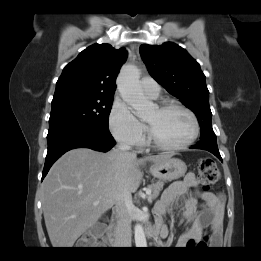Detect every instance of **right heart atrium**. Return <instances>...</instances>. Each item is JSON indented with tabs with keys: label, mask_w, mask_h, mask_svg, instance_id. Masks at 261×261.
<instances>
[{
	"label": "right heart atrium",
	"mask_w": 261,
	"mask_h": 261,
	"mask_svg": "<svg viewBox=\"0 0 261 261\" xmlns=\"http://www.w3.org/2000/svg\"><path fill=\"white\" fill-rule=\"evenodd\" d=\"M109 129L113 137L124 146L141 147L145 138V127L130 111L129 107L116 100L109 114Z\"/></svg>",
	"instance_id": "right-heart-atrium-1"
}]
</instances>
